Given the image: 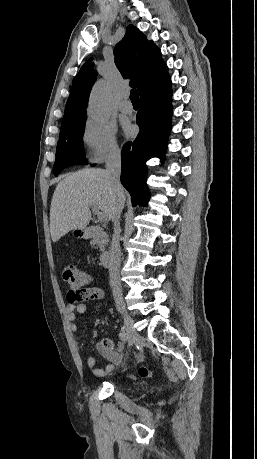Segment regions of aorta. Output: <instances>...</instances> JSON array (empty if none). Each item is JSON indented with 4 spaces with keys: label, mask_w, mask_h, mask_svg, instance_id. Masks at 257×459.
<instances>
[{
    "label": "aorta",
    "mask_w": 257,
    "mask_h": 459,
    "mask_svg": "<svg viewBox=\"0 0 257 459\" xmlns=\"http://www.w3.org/2000/svg\"><path fill=\"white\" fill-rule=\"evenodd\" d=\"M110 109V91L104 81L97 82L91 92L88 115L93 122L102 123L107 120Z\"/></svg>",
    "instance_id": "762f6f07"
}]
</instances>
